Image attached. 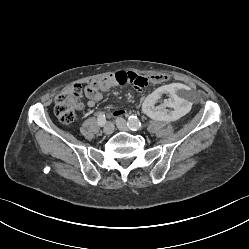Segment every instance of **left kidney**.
<instances>
[{"label":"left kidney","instance_id":"obj_1","mask_svg":"<svg viewBox=\"0 0 249 249\" xmlns=\"http://www.w3.org/2000/svg\"><path fill=\"white\" fill-rule=\"evenodd\" d=\"M184 85H162L142 101V111L154 120L174 122L187 116L191 109L188 99L181 97ZM156 114V116H155Z\"/></svg>","mask_w":249,"mask_h":249}]
</instances>
